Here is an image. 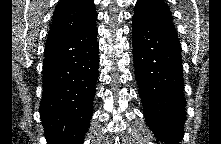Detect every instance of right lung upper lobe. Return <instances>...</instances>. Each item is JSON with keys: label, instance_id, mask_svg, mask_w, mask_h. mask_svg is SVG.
I'll list each match as a JSON object with an SVG mask.
<instances>
[{"label": "right lung upper lobe", "instance_id": "right-lung-upper-lobe-1", "mask_svg": "<svg viewBox=\"0 0 221 144\" xmlns=\"http://www.w3.org/2000/svg\"><path fill=\"white\" fill-rule=\"evenodd\" d=\"M96 19L93 0H61L54 12L45 47L88 29Z\"/></svg>", "mask_w": 221, "mask_h": 144}]
</instances>
